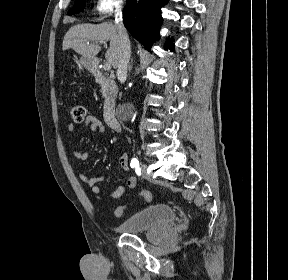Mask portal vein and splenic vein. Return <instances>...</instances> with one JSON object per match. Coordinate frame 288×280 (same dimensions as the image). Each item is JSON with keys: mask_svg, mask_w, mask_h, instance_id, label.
<instances>
[{"mask_svg": "<svg viewBox=\"0 0 288 280\" xmlns=\"http://www.w3.org/2000/svg\"><path fill=\"white\" fill-rule=\"evenodd\" d=\"M105 71H109L111 70V63L110 62H106L103 66Z\"/></svg>", "mask_w": 288, "mask_h": 280, "instance_id": "1", "label": "portal vein and splenic vein"}]
</instances>
